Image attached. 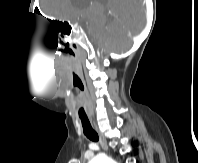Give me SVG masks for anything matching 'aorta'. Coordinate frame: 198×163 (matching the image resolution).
Here are the masks:
<instances>
[{
  "instance_id": "aorta-1",
  "label": "aorta",
  "mask_w": 198,
  "mask_h": 163,
  "mask_svg": "<svg viewBox=\"0 0 198 163\" xmlns=\"http://www.w3.org/2000/svg\"><path fill=\"white\" fill-rule=\"evenodd\" d=\"M88 163H114L110 158L105 155H97Z\"/></svg>"
}]
</instances>
